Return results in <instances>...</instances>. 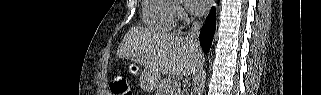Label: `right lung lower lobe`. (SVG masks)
Instances as JSON below:
<instances>
[{"mask_svg": "<svg viewBox=\"0 0 321 95\" xmlns=\"http://www.w3.org/2000/svg\"><path fill=\"white\" fill-rule=\"evenodd\" d=\"M216 23H215V8H212L211 12L209 13L205 24L201 29V41L200 44L202 49L205 53H207L210 49L213 35L215 32Z\"/></svg>", "mask_w": 321, "mask_h": 95, "instance_id": "obj_1", "label": "right lung lower lobe"}]
</instances>
